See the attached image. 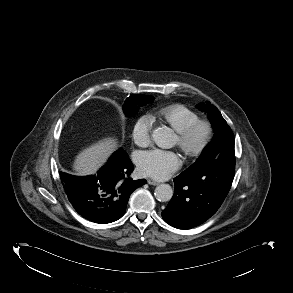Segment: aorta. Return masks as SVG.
<instances>
[{"label": "aorta", "mask_w": 293, "mask_h": 293, "mask_svg": "<svg viewBox=\"0 0 293 293\" xmlns=\"http://www.w3.org/2000/svg\"><path fill=\"white\" fill-rule=\"evenodd\" d=\"M152 139L160 148H171L174 145V135L168 127H158L152 132ZM156 199L161 202L171 200L173 189L168 184H160L155 188L154 193Z\"/></svg>", "instance_id": "aorta-1"}]
</instances>
